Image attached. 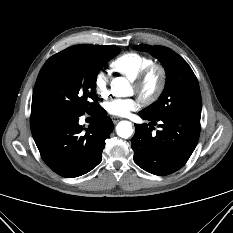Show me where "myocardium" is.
I'll return each instance as SVG.
<instances>
[{"instance_id": "f54148a6", "label": "myocardium", "mask_w": 233, "mask_h": 233, "mask_svg": "<svg viewBox=\"0 0 233 233\" xmlns=\"http://www.w3.org/2000/svg\"><path fill=\"white\" fill-rule=\"evenodd\" d=\"M153 73H157L158 83L152 93L146 94L144 93V86ZM131 81L136 88V93L142 104L150 105L158 100L163 93L167 83V71L162 64L151 63L150 65L142 69Z\"/></svg>"}]
</instances>
